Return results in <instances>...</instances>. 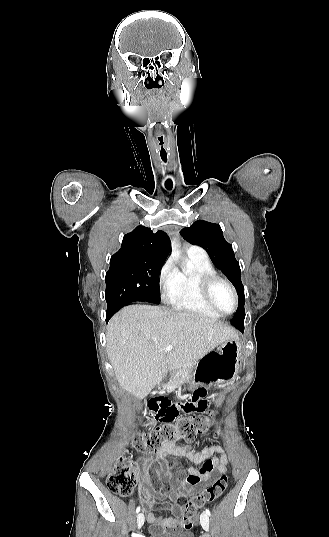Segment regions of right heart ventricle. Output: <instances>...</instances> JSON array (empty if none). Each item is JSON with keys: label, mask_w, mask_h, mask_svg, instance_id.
I'll return each instance as SVG.
<instances>
[{"label": "right heart ventricle", "mask_w": 329, "mask_h": 537, "mask_svg": "<svg viewBox=\"0 0 329 537\" xmlns=\"http://www.w3.org/2000/svg\"><path fill=\"white\" fill-rule=\"evenodd\" d=\"M190 268L178 271L177 286L168 297L170 305L179 312L192 313L207 317H219L203 299L199 277L202 274H216L208 257L188 254Z\"/></svg>", "instance_id": "1"}]
</instances>
